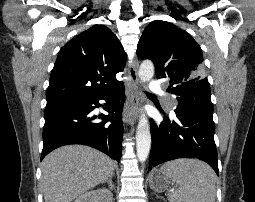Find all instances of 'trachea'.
I'll use <instances>...</instances> for the list:
<instances>
[{"label":"trachea","instance_id":"trachea-1","mask_svg":"<svg viewBox=\"0 0 255 202\" xmlns=\"http://www.w3.org/2000/svg\"><path fill=\"white\" fill-rule=\"evenodd\" d=\"M147 95H150V96H153V97H155V95H153V94H150V93H147Z\"/></svg>","mask_w":255,"mask_h":202}]
</instances>
